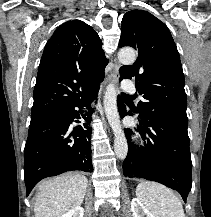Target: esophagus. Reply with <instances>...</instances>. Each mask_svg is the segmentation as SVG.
I'll return each instance as SVG.
<instances>
[{
    "label": "esophagus",
    "mask_w": 211,
    "mask_h": 217,
    "mask_svg": "<svg viewBox=\"0 0 211 217\" xmlns=\"http://www.w3.org/2000/svg\"><path fill=\"white\" fill-rule=\"evenodd\" d=\"M119 68H120V63L115 58L114 59V68L110 72L109 76L107 77V80H106L105 84L117 83L118 82V79H119Z\"/></svg>",
    "instance_id": "obj_1"
}]
</instances>
